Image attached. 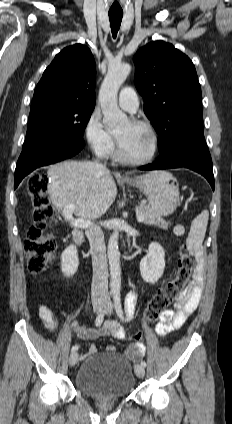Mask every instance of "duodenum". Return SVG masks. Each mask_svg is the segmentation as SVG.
I'll use <instances>...</instances> for the list:
<instances>
[{
    "mask_svg": "<svg viewBox=\"0 0 232 424\" xmlns=\"http://www.w3.org/2000/svg\"><path fill=\"white\" fill-rule=\"evenodd\" d=\"M73 239L75 241V243L77 244L78 247H82L83 246V241H84V235L83 232L80 230H74L72 233Z\"/></svg>",
    "mask_w": 232,
    "mask_h": 424,
    "instance_id": "1",
    "label": "duodenum"
}]
</instances>
